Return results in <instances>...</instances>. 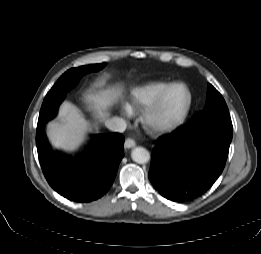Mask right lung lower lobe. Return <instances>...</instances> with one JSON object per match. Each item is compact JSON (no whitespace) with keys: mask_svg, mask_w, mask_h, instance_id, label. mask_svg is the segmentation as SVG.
<instances>
[{"mask_svg":"<svg viewBox=\"0 0 261 254\" xmlns=\"http://www.w3.org/2000/svg\"><path fill=\"white\" fill-rule=\"evenodd\" d=\"M64 98L62 94L43 101L36 131L38 157L46 180L56 192L72 201L89 202L112 186L124 156V137L119 133L94 135L87 149L72 160L53 152L45 141L44 127Z\"/></svg>","mask_w":261,"mask_h":254,"instance_id":"obj_1","label":"right lung lower lobe"}]
</instances>
